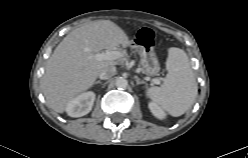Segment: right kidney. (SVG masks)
<instances>
[{"mask_svg":"<svg viewBox=\"0 0 248 158\" xmlns=\"http://www.w3.org/2000/svg\"><path fill=\"white\" fill-rule=\"evenodd\" d=\"M94 101V92L82 93L68 102L66 112L71 117H82L92 110Z\"/></svg>","mask_w":248,"mask_h":158,"instance_id":"1","label":"right kidney"}]
</instances>
